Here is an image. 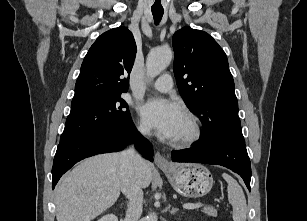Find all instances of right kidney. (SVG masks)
Instances as JSON below:
<instances>
[{"mask_svg": "<svg viewBox=\"0 0 307 221\" xmlns=\"http://www.w3.org/2000/svg\"><path fill=\"white\" fill-rule=\"evenodd\" d=\"M98 221H118V218L113 214H108L100 218Z\"/></svg>", "mask_w": 307, "mask_h": 221, "instance_id": "obj_1", "label": "right kidney"}]
</instances>
